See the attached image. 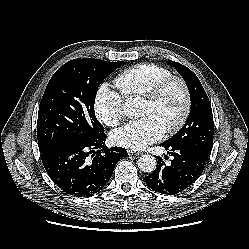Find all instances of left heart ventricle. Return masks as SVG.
Listing matches in <instances>:
<instances>
[{
  "instance_id": "b2bd125f",
  "label": "left heart ventricle",
  "mask_w": 249,
  "mask_h": 249,
  "mask_svg": "<svg viewBox=\"0 0 249 249\" xmlns=\"http://www.w3.org/2000/svg\"><path fill=\"white\" fill-rule=\"evenodd\" d=\"M183 105V95L177 84H171L156 103L142 101L140 115L154 116L166 129L179 117Z\"/></svg>"
}]
</instances>
